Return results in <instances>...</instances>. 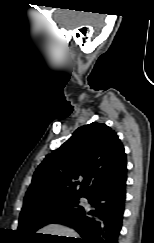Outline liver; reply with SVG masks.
Wrapping results in <instances>:
<instances>
[{"label":"liver","instance_id":"liver-1","mask_svg":"<svg viewBox=\"0 0 154 243\" xmlns=\"http://www.w3.org/2000/svg\"><path fill=\"white\" fill-rule=\"evenodd\" d=\"M37 233L73 237V238H78V236H79L73 229H70L66 226L59 225V224L47 225V226L43 227L42 229H40L39 232H37ZM73 238H68V239H73ZM66 241H68V240H66Z\"/></svg>","mask_w":154,"mask_h":243}]
</instances>
